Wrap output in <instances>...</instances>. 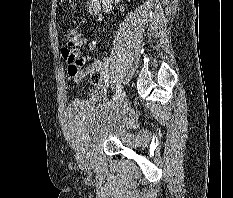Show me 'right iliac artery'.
<instances>
[{
  "label": "right iliac artery",
  "instance_id": "1",
  "mask_svg": "<svg viewBox=\"0 0 233 198\" xmlns=\"http://www.w3.org/2000/svg\"><path fill=\"white\" fill-rule=\"evenodd\" d=\"M120 94H121V84L117 83L116 84V92H115V94L113 96V101L117 100L118 97L120 96Z\"/></svg>",
  "mask_w": 233,
  "mask_h": 198
}]
</instances>
